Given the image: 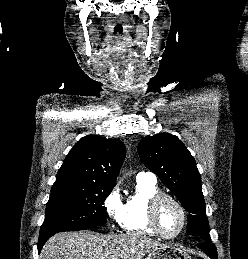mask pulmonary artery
I'll return each instance as SVG.
<instances>
[{"mask_svg": "<svg viewBox=\"0 0 248 259\" xmlns=\"http://www.w3.org/2000/svg\"><path fill=\"white\" fill-rule=\"evenodd\" d=\"M137 178H144V179H148V180H151V181H156L155 174L150 172V171L138 173Z\"/></svg>", "mask_w": 248, "mask_h": 259, "instance_id": "obj_1", "label": "pulmonary artery"}]
</instances>
